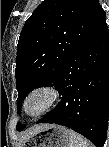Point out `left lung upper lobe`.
Listing matches in <instances>:
<instances>
[{
	"mask_svg": "<svg viewBox=\"0 0 109 147\" xmlns=\"http://www.w3.org/2000/svg\"><path fill=\"white\" fill-rule=\"evenodd\" d=\"M104 16L98 0H45L36 8L17 45L18 112L33 89L57 88L66 62Z\"/></svg>",
	"mask_w": 109,
	"mask_h": 147,
	"instance_id": "5c2ea615",
	"label": "left lung upper lobe"
}]
</instances>
